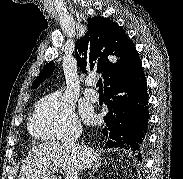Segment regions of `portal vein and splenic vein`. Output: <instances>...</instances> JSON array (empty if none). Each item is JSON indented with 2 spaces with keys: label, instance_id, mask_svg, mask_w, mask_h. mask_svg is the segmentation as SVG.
I'll return each mask as SVG.
<instances>
[{
  "label": "portal vein and splenic vein",
  "instance_id": "18ae733b",
  "mask_svg": "<svg viewBox=\"0 0 183 179\" xmlns=\"http://www.w3.org/2000/svg\"><path fill=\"white\" fill-rule=\"evenodd\" d=\"M54 172H58V169L57 168H53L50 173H54Z\"/></svg>",
  "mask_w": 183,
  "mask_h": 179
}]
</instances>
